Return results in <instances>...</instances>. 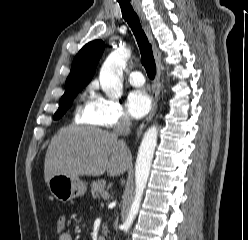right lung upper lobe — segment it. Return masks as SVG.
<instances>
[{
	"label": "right lung upper lobe",
	"instance_id": "cb5924a9",
	"mask_svg": "<svg viewBox=\"0 0 248 240\" xmlns=\"http://www.w3.org/2000/svg\"><path fill=\"white\" fill-rule=\"evenodd\" d=\"M104 48L105 43L101 40L87 43L75 56L65 84L77 81L86 86L95 73Z\"/></svg>",
	"mask_w": 248,
	"mask_h": 240
}]
</instances>
